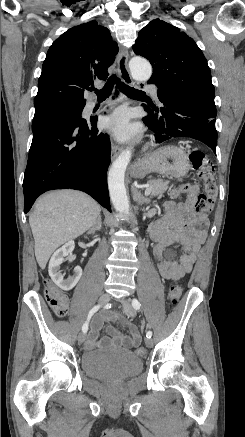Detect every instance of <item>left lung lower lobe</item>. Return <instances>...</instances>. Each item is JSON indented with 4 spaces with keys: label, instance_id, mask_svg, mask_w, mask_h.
I'll return each instance as SVG.
<instances>
[{
    "label": "left lung lower lobe",
    "instance_id": "0a47b994",
    "mask_svg": "<svg viewBox=\"0 0 245 437\" xmlns=\"http://www.w3.org/2000/svg\"><path fill=\"white\" fill-rule=\"evenodd\" d=\"M161 107L144 106L149 113L144 123L155 132L156 142L173 137H189L208 145L216 154V107L206 100L158 88Z\"/></svg>",
    "mask_w": 245,
    "mask_h": 437
}]
</instances>
